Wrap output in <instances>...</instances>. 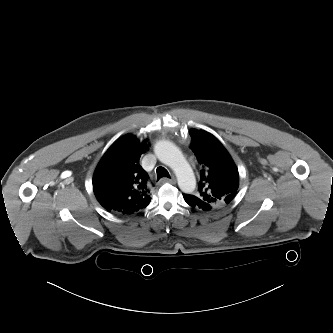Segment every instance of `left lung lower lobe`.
<instances>
[{"instance_id":"obj_1","label":"left lung lower lobe","mask_w":333,"mask_h":333,"mask_svg":"<svg viewBox=\"0 0 333 333\" xmlns=\"http://www.w3.org/2000/svg\"><path fill=\"white\" fill-rule=\"evenodd\" d=\"M183 196H184L186 203L188 205H190L192 208L200 209L203 211H209V210L213 209L209 203L203 202V201L195 198L194 196H187V195H183Z\"/></svg>"}]
</instances>
